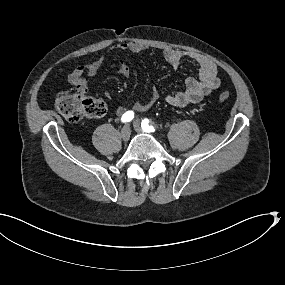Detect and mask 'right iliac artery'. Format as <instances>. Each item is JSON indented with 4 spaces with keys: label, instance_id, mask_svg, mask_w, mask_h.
I'll return each mask as SVG.
<instances>
[{
    "label": "right iliac artery",
    "instance_id": "obj_1",
    "mask_svg": "<svg viewBox=\"0 0 285 285\" xmlns=\"http://www.w3.org/2000/svg\"><path fill=\"white\" fill-rule=\"evenodd\" d=\"M134 118V112L133 111H127L122 115L121 121L122 122H130Z\"/></svg>",
    "mask_w": 285,
    "mask_h": 285
}]
</instances>
